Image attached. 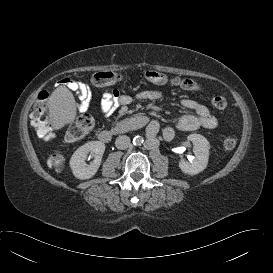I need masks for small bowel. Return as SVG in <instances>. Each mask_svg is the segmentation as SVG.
<instances>
[{
  "mask_svg": "<svg viewBox=\"0 0 273 273\" xmlns=\"http://www.w3.org/2000/svg\"><path fill=\"white\" fill-rule=\"evenodd\" d=\"M62 84L69 87L71 90L79 94L81 103L78 106L80 112L86 111L92 104V92L90 87L84 82L77 81L71 78L62 80ZM184 90L193 91L187 87H182ZM163 92L156 89H145L138 93L137 98L140 100L158 101L162 99ZM132 102V97L126 94H120L118 90L106 92L101 95L98 101V109L101 114L108 115L116 108L122 105H128ZM181 105L190 109L194 114H186L179 118L176 123V128L182 132L195 131L200 128L213 129L217 125V120L211 113L208 107L193 99H182ZM154 130H152V133ZM163 138L170 141L175 136V130L171 126H166L162 130Z\"/></svg>",
  "mask_w": 273,
  "mask_h": 273,
  "instance_id": "1",
  "label": "small bowel"
}]
</instances>
